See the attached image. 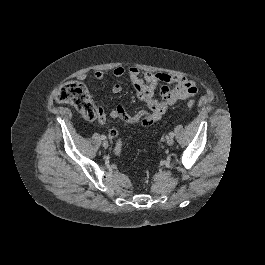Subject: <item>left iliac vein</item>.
Instances as JSON below:
<instances>
[{"instance_id":"obj_1","label":"left iliac vein","mask_w":265,"mask_h":265,"mask_svg":"<svg viewBox=\"0 0 265 265\" xmlns=\"http://www.w3.org/2000/svg\"><path fill=\"white\" fill-rule=\"evenodd\" d=\"M167 144H168L169 146L173 145V144H174V139H173L172 137H168V138H167Z\"/></svg>"}]
</instances>
